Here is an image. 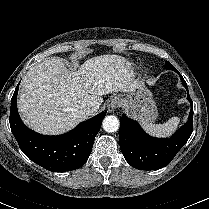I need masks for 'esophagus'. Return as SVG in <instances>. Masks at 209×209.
<instances>
[{"label":"esophagus","instance_id":"34e87169","mask_svg":"<svg viewBox=\"0 0 209 209\" xmlns=\"http://www.w3.org/2000/svg\"><path fill=\"white\" fill-rule=\"evenodd\" d=\"M121 106V100L119 97H114L111 99L109 105H108V111L114 112L116 109H118Z\"/></svg>","mask_w":209,"mask_h":209}]
</instances>
